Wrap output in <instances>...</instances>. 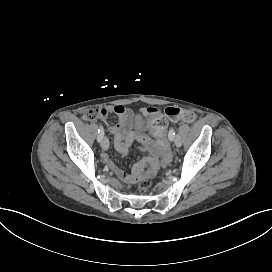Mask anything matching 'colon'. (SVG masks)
Masks as SVG:
<instances>
[{
  "label": "colon",
  "mask_w": 272,
  "mask_h": 272,
  "mask_svg": "<svg viewBox=\"0 0 272 272\" xmlns=\"http://www.w3.org/2000/svg\"><path fill=\"white\" fill-rule=\"evenodd\" d=\"M107 114L106 108L90 110L86 113L84 118L88 121H93L97 116H105ZM197 118V113L194 110H182L177 106H167L160 108L158 106H149L145 110V119L152 123L153 138L157 145L160 146V151L163 154H168L171 151V146L167 142L171 138V131L169 127V121L176 122L182 120L185 122H193ZM157 173V168L154 165L147 166L145 174L141 177L140 189L143 192H148L151 189L153 177ZM122 178L125 177L123 173H120Z\"/></svg>",
  "instance_id": "obj_1"
}]
</instances>
